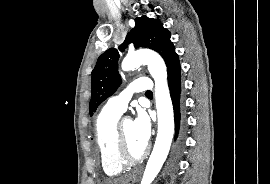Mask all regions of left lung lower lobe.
Here are the masks:
<instances>
[{"mask_svg": "<svg viewBox=\"0 0 270 184\" xmlns=\"http://www.w3.org/2000/svg\"><path fill=\"white\" fill-rule=\"evenodd\" d=\"M167 79L170 90V96L173 103L175 117V138L177 140V148L180 150L184 144L186 132V120L184 115V105L181 90V68L179 57L175 53L167 64Z\"/></svg>", "mask_w": 270, "mask_h": 184, "instance_id": "1", "label": "left lung lower lobe"}]
</instances>
